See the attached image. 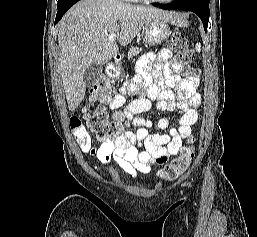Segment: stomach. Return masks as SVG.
Masks as SVG:
<instances>
[{
	"label": "stomach",
	"mask_w": 257,
	"mask_h": 237,
	"mask_svg": "<svg viewBox=\"0 0 257 237\" xmlns=\"http://www.w3.org/2000/svg\"><path fill=\"white\" fill-rule=\"evenodd\" d=\"M170 36L168 22L156 18L148 21L143 27V40L149 46L159 45Z\"/></svg>",
	"instance_id": "obj_1"
}]
</instances>
